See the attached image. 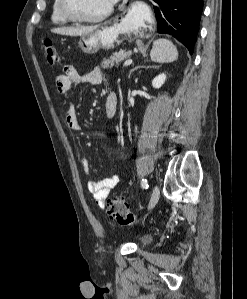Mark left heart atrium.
<instances>
[{
	"instance_id": "left-heart-atrium-1",
	"label": "left heart atrium",
	"mask_w": 247,
	"mask_h": 299,
	"mask_svg": "<svg viewBox=\"0 0 247 299\" xmlns=\"http://www.w3.org/2000/svg\"><path fill=\"white\" fill-rule=\"evenodd\" d=\"M111 1V3H115L116 1H118V0H110Z\"/></svg>"
}]
</instances>
